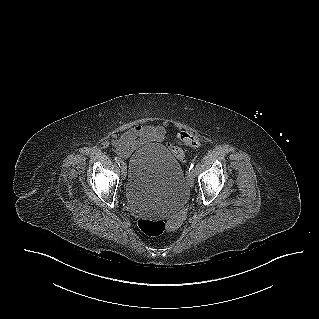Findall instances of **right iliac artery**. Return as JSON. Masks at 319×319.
Segmentation results:
<instances>
[{"instance_id": "82829eb1", "label": "right iliac artery", "mask_w": 319, "mask_h": 319, "mask_svg": "<svg viewBox=\"0 0 319 319\" xmlns=\"http://www.w3.org/2000/svg\"><path fill=\"white\" fill-rule=\"evenodd\" d=\"M114 160L117 162L119 166H121L124 163L118 156H115Z\"/></svg>"}]
</instances>
